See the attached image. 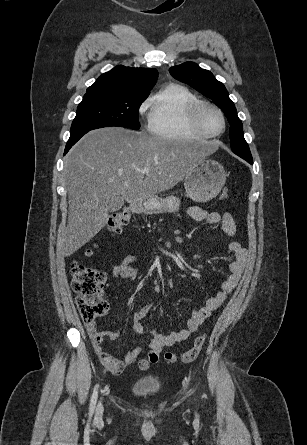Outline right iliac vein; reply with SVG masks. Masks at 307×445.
<instances>
[{"label": "right iliac vein", "instance_id": "1", "mask_svg": "<svg viewBox=\"0 0 307 445\" xmlns=\"http://www.w3.org/2000/svg\"><path fill=\"white\" fill-rule=\"evenodd\" d=\"M102 414H103V406L102 403L100 402L97 406L96 417L101 418Z\"/></svg>", "mask_w": 307, "mask_h": 445}]
</instances>
